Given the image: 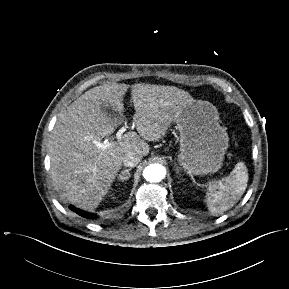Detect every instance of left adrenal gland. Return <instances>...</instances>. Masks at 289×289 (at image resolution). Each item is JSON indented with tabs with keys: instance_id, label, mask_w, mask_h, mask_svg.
<instances>
[{
	"instance_id": "1",
	"label": "left adrenal gland",
	"mask_w": 289,
	"mask_h": 289,
	"mask_svg": "<svg viewBox=\"0 0 289 289\" xmlns=\"http://www.w3.org/2000/svg\"><path fill=\"white\" fill-rule=\"evenodd\" d=\"M176 171H177L176 173H179V170H178V169H177Z\"/></svg>"
}]
</instances>
